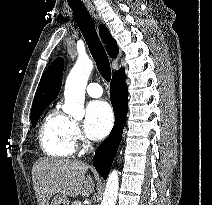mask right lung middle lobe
<instances>
[{"mask_svg":"<svg viewBox=\"0 0 212 205\" xmlns=\"http://www.w3.org/2000/svg\"><path fill=\"white\" fill-rule=\"evenodd\" d=\"M46 107H47V105H40V106L32 107L30 118H31L32 125L34 127L37 124V121H38L39 117L41 116L43 110Z\"/></svg>","mask_w":212,"mask_h":205,"instance_id":"obj_1","label":"right lung middle lobe"}]
</instances>
